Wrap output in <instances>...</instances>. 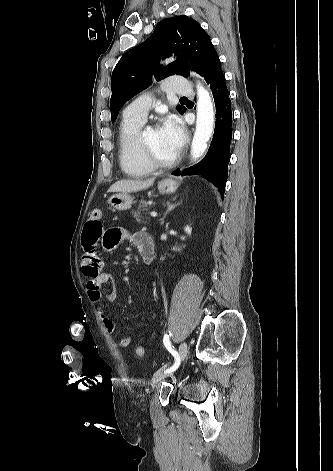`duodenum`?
<instances>
[{
	"label": "duodenum",
	"mask_w": 333,
	"mask_h": 471,
	"mask_svg": "<svg viewBox=\"0 0 333 471\" xmlns=\"http://www.w3.org/2000/svg\"><path fill=\"white\" fill-rule=\"evenodd\" d=\"M139 252L142 258V261L148 265L152 262L154 258V243L151 238L144 239L139 245Z\"/></svg>",
	"instance_id": "1"
}]
</instances>
